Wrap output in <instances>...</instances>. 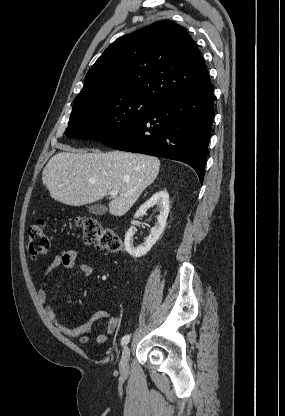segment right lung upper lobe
<instances>
[{
	"instance_id": "1",
	"label": "right lung upper lobe",
	"mask_w": 285,
	"mask_h": 416,
	"mask_svg": "<svg viewBox=\"0 0 285 416\" xmlns=\"http://www.w3.org/2000/svg\"><path fill=\"white\" fill-rule=\"evenodd\" d=\"M210 82L185 28L162 20L113 42L88 71L72 110L126 97L159 105Z\"/></svg>"
}]
</instances>
